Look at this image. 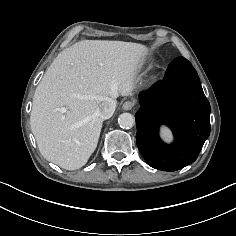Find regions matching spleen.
Segmentation results:
<instances>
[{
    "instance_id": "obj_1",
    "label": "spleen",
    "mask_w": 236,
    "mask_h": 236,
    "mask_svg": "<svg viewBox=\"0 0 236 236\" xmlns=\"http://www.w3.org/2000/svg\"><path fill=\"white\" fill-rule=\"evenodd\" d=\"M161 136L163 137V139L167 142L172 141V134L171 131L169 130V128L163 126L161 129Z\"/></svg>"
}]
</instances>
